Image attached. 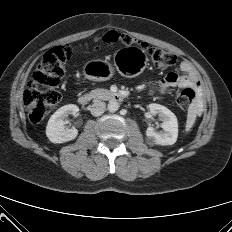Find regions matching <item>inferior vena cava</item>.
Instances as JSON below:
<instances>
[{
	"mask_svg": "<svg viewBox=\"0 0 232 232\" xmlns=\"http://www.w3.org/2000/svg\"><path fill=\"white\" fill-rule=\"evenodd\" d=\"M105 109H106L105 102L96 101L92 104L90 111L93 116H100L101 114L104 113Z\"/></svg>",
	"mask_w": 232,
	"mask_h": 232,
	"instance_id": "1",
	"label": "inferior vena cava"
}]
</instances>
